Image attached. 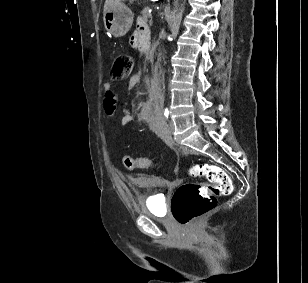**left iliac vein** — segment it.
<instances>
[{
    "instance_id": "left-iliac-vein-1",
    "label": "left iliac vein",
    "mask_w": 308,
    "mask_h": 283,
    "mask_svg": "<svg viewBox=\"0 0 308 283\" xmlns=\"http://www.w3.org/2000/svg\"><path fill=\"white\" fill-rule=\"evenodd\" d=\"M173 131H174V123L172 121H170L169 123L165 124V126H164V129H163L164 137L168 140H171Z\"/></svg>"
}]
</instances>
